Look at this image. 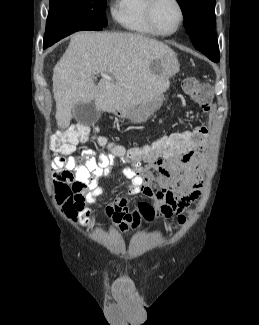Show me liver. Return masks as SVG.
<instances>
[{
    "label": "liver",
    "instance_id": "liver-1",
    "mask_svg": "<svg viewBox=\"0 0 259 325\" xmlns=\"http://www.w3.org/2000/svg\"><path fill=\"white\" fill-rule=\"evenodd\" d=\"M179 67L170 47L142 34L78 32L53 69L57 125L69 127L79 102L94 100L97 111L113 112L155 100L168 87L165 77ZM99 73L112 80L102 78L95 85Z\"/></svg>",
    "mask_w": 259,
    "mask_h": 325
}]
</instances>
